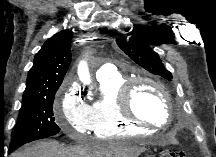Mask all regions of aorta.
Listing matches in <instances>:
<instances>
[{
	"label": "aorta",
	"instance_id": "aorta-1",
	"mask_svg": "<svg viewBox=\"0 0 216 157\" xmlns=\"http://www.w3.org/2000/svg\"><path fill=\"white\" fill-rule=\"evenodd\" d=\"M78 75L80 80L84 83V84H89L90 83V75H89V71H88V67L86 65V63H81L79 68H78Z\"/></svg>",
	"mask_w": 216,
	"mask_h": 157
}]
</instances>
